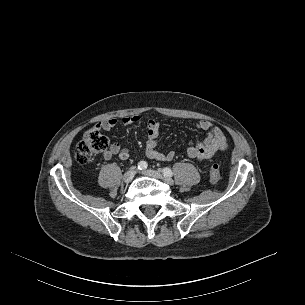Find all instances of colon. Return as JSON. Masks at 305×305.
<instances>
[{
	"instance_id": "obj_1",
	"label": "colon",
	"mask_w": 305,
	"mask_h": 305,
	"mask_svg": "<svg viewBox=\"0 0 305 305\" xmlns=\"http://www.w3.org/2000/svg\"><path fill=\"white\" fill-rule=\"evenodd\" d=\"M107 149L108 141L106 137L99 130L92 128L84 133L81 141L78 143L75 158L79 163L86 164L90 162L95 155L105 152ZM209 178L210 182L213 184L220 181L221 172L217 163H214L210 167Z\"/></svg>"
}]
</instances>
